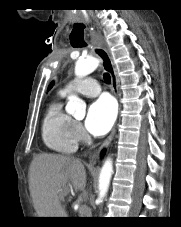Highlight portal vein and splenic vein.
<instances>
[{"mask_svg":"<svg viewBox=\"0 0 181 227\" xmlns=\"http://www.w3.org/2000/svg\"><path fill=\"white\" fill-rule=\"evenodd\" d=\"M80 209H81L82 212H86L88 208H87L86 205H81Z\"/></svg>","mask_w":181,"mask_h":227,"instance_id":"portal-vein-and-splenic-vein-1","label":"portal vein and splenic vein"}]
</instances>
